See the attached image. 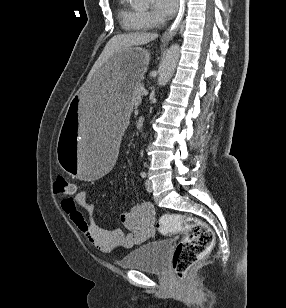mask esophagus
Listing matches in <instances>:
<instances>
[{"instance_id": "esophagus-1", "label": "esophagus", "mask_w": 286, "mask_h": 308, "mask_svg": "<svg viewBox=\"0 0 286 308\" xmlns=\"http://www.w3.org/2000/svg\"><path fill=\"white\" fill-rule=\"evenodd\" d=\"M184 6H185V0H181L180 1V9H179L178 15H177L174 23L172 24V26L167 30V32L162 37V39L164 41H168L176 35V33H177V31L180 27V22H181L183 13H184Z\"/></svg>"}]
</instances>
